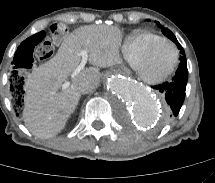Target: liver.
<instances>
[{
    "instance_id": "1",
    "label": "liver",
    "mask_w": 215,
    "mask_h": 183,
    "mask_svg": "<svg viewBox=\"0 0 215 183\" xmlns=\"http://www.w3.org/2000/svg\"><path fill=\"white\" fill-rule=\"evenodd\" d=\"M121 39L122 33L117 27L82 26L65 38L52 59L32 71L25 84L23 119L33 135L48 139L65 128L81 97L79 84L99 83L98 67L118 63ZM81 50L88 52L89 62L96 67L83 69L71 78L68 88L60 90L80 64Z\"/></svg>"
}]
</instances>
